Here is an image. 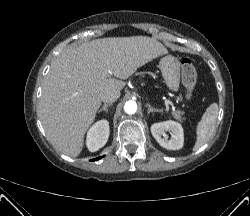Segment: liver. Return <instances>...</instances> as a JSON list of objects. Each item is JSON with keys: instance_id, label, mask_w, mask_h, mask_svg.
Listing matches in <instances>:
<instances>
[{"instance_id": "1", "label": "liver", "mask_w": 250, "mask_h": 216, "mask_svg": "<svg viewBox=\"0 0 250 216\" xmlns=\"http://www.w3.org/2000/svg\"><path fill=\"white\" fill-rule=\"evenodd\" d=\"M166 53L159 41L147 36L101 38L66 48L51 65L39 103L38 114L50 142L77 157L102 94L121 90L123 79Z\"/></svg>"}]
</instances>
